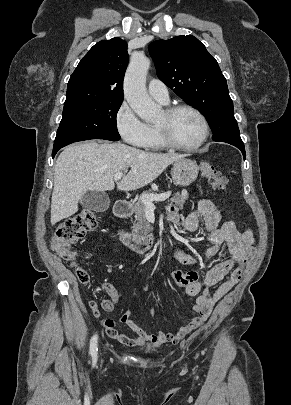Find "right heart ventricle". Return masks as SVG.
I'll list each match as a JSON object with an SVG mask.
<instances>
[{"instance_id":"right-heart-ventricle-1","label":"right heart ventricle","mask_w":291,"mask_h":405,"mask_svg":"<svg viewBox=\"0 0 291 405\" xmlns=\"http://www.w3.org/2000/svg\"><path fill=\"white\" fill-rule=\"evenodd\" d=\"M145 147L151 150H162L166 147L161 141L156 126H150V137Z\"/></svg>"}]
</instances>
